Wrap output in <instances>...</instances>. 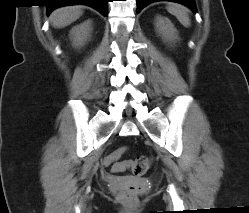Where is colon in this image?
I'll list each match as a JSON object with an SVG mask.
<instances>
[{
  "label": "colon",
  "mask_w": 249,
  "mask_h": 213,
  "mask_svg": "<svg viewBox=\"0 0 249 213\" xmlns=\"http://www.w3.org/2000/svg\"><path fill=\"white\" fill-rule=\"evenodd\" d=\"M127 151V147H120L110 153L104 159V164L111 167L112 172H122L130 169L135 176L143 175L151 165V159L140 156L134 161H119V158ZM138 194V188L131 185L119 194V199L125 203H134Z\"/></svg>",
  "instance_id": "5ec220e1"
}]
</instances>
